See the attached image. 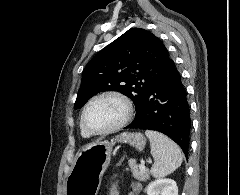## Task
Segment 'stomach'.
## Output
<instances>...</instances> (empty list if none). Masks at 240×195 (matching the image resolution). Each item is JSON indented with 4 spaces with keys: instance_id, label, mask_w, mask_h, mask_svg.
<instances>
[{
    "instance_id": "0dacf381",
    "label": "stomach",
    "mask_w": 240,
    "mask_h": 195,
    "mask_svg": "<svg viewBox=\"0 0 240 195\" xmlns=\"http://www.w3.org/2000/svg\"><path fill=\"white\" fill-rule=\"evenodd\" d=\"M116 141L129 143L138 151H143L146 145V137L139 131H123L116 139H98L87 143L77 151L66 179L67 195H97Z\"/></svg>"
}]
</instances>
